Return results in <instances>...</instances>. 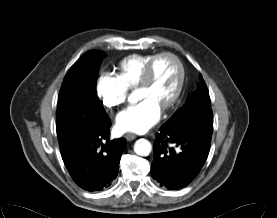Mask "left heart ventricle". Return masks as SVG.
Listing matches in <instances>:
<instances>
[{
  "label": "left heart ventricle",
  "instance_id": "b2bd125f",
  "mask_svg": "<svg viewBox=\"0 0 277 218\" xmlns=\"http://www.w3.org/2000/svg\"><path fill=\"white\" fill-rule=\"evenodd\" d=\"M178 77L179 70L175 62L167 57L161 58L155 65L151 83L139 87L138 97L150 98L161 107L174 91Z\"/></svg>",
  "mask_w": 277,
  "mask_h": 218
}]
</instances>
